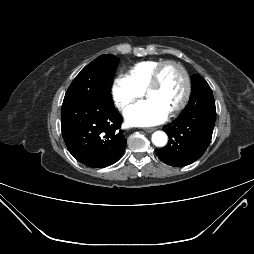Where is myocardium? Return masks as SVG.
Segmentation results:
<instances>
[{
  "instance_id": "f54148a6",
  "label": "myocardium",
  "mask_w": 254,
  "mask_h": 254,
  "mask_svg": "<svg viewBox=\"0 0 254 254\" xmlns=\"http://www.w3.org/2000/svg\"><path fill=\"white\" fill-rule=\"evenodd\" d=\"M169 65H172V66H175L176 68H178L180 70V72L183 76V80H184L183 96H182L180 102L173 108L172 111L169 112L170 115H175L185 107V105L187 104V102L189 100L190 93H191L190 77H189L187 70L181 63L174 61V60H165L162 63H160L159 66L155 69L152 79H151L147 89L145 90V93H146V95H148L149 92H151L152 90L156 89L159 86L162 72Z\"/></svg>"
}]
</instances>
